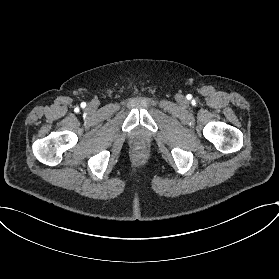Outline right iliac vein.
Returning <instances> with one entry per match:
<instances>
[{
    "label": "right iliac vein",
    "mask_w": 279,
    "mask_h": 279,
    "mask_svg": "<svg viewBox=\"0 0 279 279\" xmlns=\"http://www.w3.org/2000/svg\"><path fill=\"white\" fill-rule=\"evenodd\" d=\"M95 103H90L88 106H87V110H93L94 107H95Z\"/></svg>",
    "instance_id": "right-iliac-vein-1"
}]
</instances>
